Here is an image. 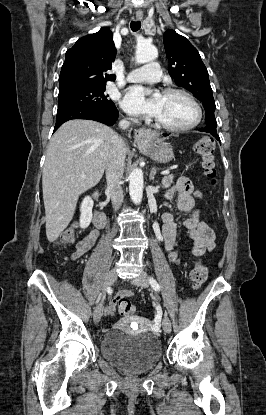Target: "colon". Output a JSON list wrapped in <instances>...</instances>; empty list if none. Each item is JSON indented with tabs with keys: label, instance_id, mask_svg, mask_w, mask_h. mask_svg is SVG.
Masks as SVG:
<instances>
[{
	"label": "colon",
	"instance_id": "obj_1",
	"mask_svg": "<svg viewBox=\"0 0 266 415\" xmlns=\"http://www.w3.org/2000/svg\"><path fill=\"white\" fill-rule=\"evenodd\" d=\"M194 151L201 157V166L204 175L215 183V142L211 137H203L194 144ZM76 237V226L67 228L59 237L61 244H72ZM208 268L201 262H196L190 272V279L194 288H199L207 280ZM118 311L121 315L129 316L135 312L134 305L127 299L121 298L118 301Z\"/></svg>",
	"mask_w": 266,
	"mask_h": 415
}]
</instances>
